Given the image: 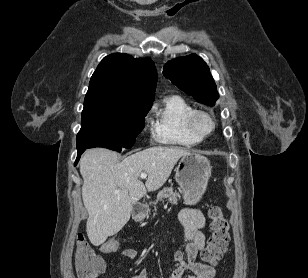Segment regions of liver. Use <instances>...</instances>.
I'll use <instances>...</instances> for the list:
<instances>
[{
  "instance_id": "6515ba94",
  "label": "liver",
  "mask_w": 308,
  "mask_h": 278,
  "mask_svg": "<svg viewBox=\"0 0 308 278\" xmlns=\"http://www.w3.org/2000/svg\"><path fill=\"white\" fill-rule=\"evenodd\" d=\"M190 152L178 147H151L121 162L118 154L105 148L87 150L80 161L84 183L82 199L88 211L86 232L99 246L129 221L132 205L144 194L159 189L178 160ZM147 173L145 184L139 180ZM116 191H120L116 193Z\"/></svg>"
}]
</instances>
